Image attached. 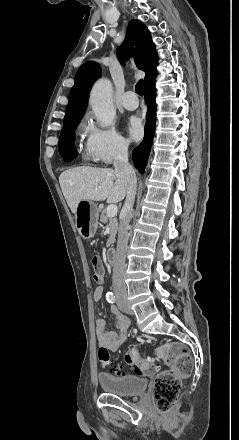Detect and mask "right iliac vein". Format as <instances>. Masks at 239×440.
I'll return each instance as SVG.
<instances>
[{
    "label": "right iliac vein",
    "mask_w": 239,
    "mask_h": 440,
    "mask_svg": "<svg viewBox=\"0 0 239 440\" xmlns=\"http://www.w3.org/2000/svg\"><path fill=\"white\" fill-rule=\"evenodd\" d=\"M122 306H123V309L127 312V313H133L132 312V310H131V308H130V306L126 303V302H122Z\"/></svg>",
    "instance_id": "63e3f726"
}]
</instances>
